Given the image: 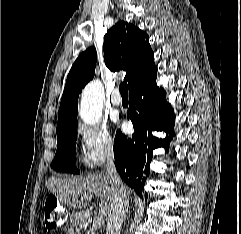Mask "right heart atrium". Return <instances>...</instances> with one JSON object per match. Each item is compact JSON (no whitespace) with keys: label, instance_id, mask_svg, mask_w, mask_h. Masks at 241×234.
Here are the masks:
<instances>
[{"label":"right heart atrium","instance_id":"obj_1","mask_svg":"<svg viewBox=\"0 0 241 234\" xmlns=\"http://www.w3.org/2000/svg\"><path fill=\"white\" fill-rule=\"evenodd\" d=\"M77 135L82 145L83 161L88 168L100 166L115 154V141L106 126L81 124L77 127Z\"/></svg>","mask_w":241,"mask_h":234}]
</instances>
